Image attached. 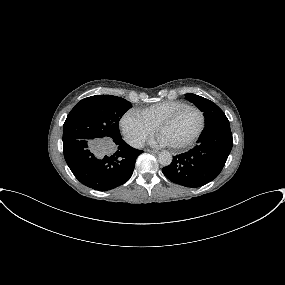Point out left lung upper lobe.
<instances>
[{"label":"left lung upper lobe","instance_id":"obj_1","mask_svg":"<svg viewBox=\"0 0 285 285\" xmlns=\"http://www.w3.org/2000/svg\"><path fill=\"white\" fill-rule=\"evenodd\" d=\"M185 96L203 112L205 125L213 121L228 120L224 112L212 101L191 93Z\"/></svg>","mask_w":285,"mask_h":285}]
</instances>
